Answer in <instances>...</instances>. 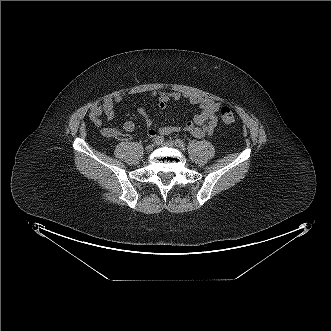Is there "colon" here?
I'll use <instances>...</instances> for the list:
<instances>
[{
	"mask_svg": "<svg viewBox=\"0 0 331 331\" xmlns=\"http://www.w3.org/2000/svg\"><path fill=\"white\" fill-rule=\"evenodd\" d=\"M220 113H221L222 121L225 125L232 126L235 124L236 117L229 107L226 106L222 107Z\"/></svg>",
	"mask_w": 331,
	"mask_h": 331,
	"instance_id": "5ec220e1",
	"label": "colon"
}]
</instances>
